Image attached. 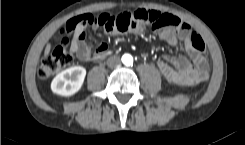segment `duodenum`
Wrapping results in <instances>:
<instances>
[{
  "instance_id": "1",
  "label": "duodenum",
  "mask_w": 245,
  "mask_h": 145,
  "mask_svg": "<svg viewBox=\"0 0 245 145\" xmlns=\"http://www.w3.org/2000/svg\"><path fill=\"white\" fill-rule=\"evenodd\" d=\"M111 54V51L110 50H107L106 52H104L103 54L99 55L97 58L98 59H103L105 58L106 56L110 55Z\"/></svg>"
}]
</instances>
